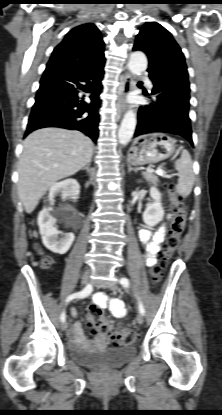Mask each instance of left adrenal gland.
I'll list each match as a JSON object with an SVG mask.
<instances>
[{"instance_id": "left-adrenal-gland-1", "label": "left adrenal gland", "mask_w": 222, "mask_h": 415, "mask_svg": "<svg viewBox=\"0 0 222 415\" xmlns=\"http://www.w3.org/2000/svg\"><path fill=\"white\" fill-rule=\"evenodd\" d=\"M130 171L136 172V170L130 164H128V172Z\"/></svg>"}]
</instances>
